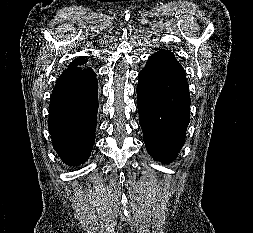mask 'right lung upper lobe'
Listing matches in <instances>:
<instances>
[{
	"label": "right lung upper lobe",
	"mask_w": 253,
	"mask_h": 233,
	"mask_svg": "<svg viewBox=\"0 0 253 233\" xmlns=\"http://www.w3.org/2000/svg\"><path fill=\"white\" fill-rule=\"evenodd\" d=\"M87 58H85L84 56L77 58L76 60H74L69 67H75L78 65H83L87 62Z\"/></svg>",
	"instance_id": "1"
}]
</instances>
